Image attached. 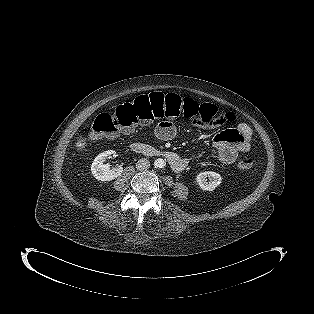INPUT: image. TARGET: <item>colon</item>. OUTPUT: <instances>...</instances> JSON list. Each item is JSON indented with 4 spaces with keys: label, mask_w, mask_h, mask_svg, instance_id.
<instances>
[{
    "label": "colon",
    "mask_w": 314,
    "mask_h": 314,
    "mask_svg": "<svg viewBox=\"0 0 314 314\" xmlns=\"http://www.w3.org/2000/svg\"><path fill=\"white\" fill-rule=\"evenodd\" d=\"M216 115L217 109L211 104H201L177 94L155 92L138 96L113 111L98 114L83 129L82 136L86 143H91L102 137H115L122 131H130L137 125L148 124L159 118L211 121ZM252 164L253 160L248 156H242L236 161V167L242 171L249 170Z\"/></svg>",
    "instance_id": "5ec220e1"
}]
</instances>
